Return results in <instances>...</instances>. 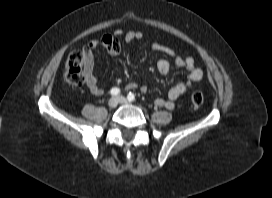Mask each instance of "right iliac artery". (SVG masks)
Returning a JSON list of instances; mask_svg holds the SVG:
<instances>
[{
	"mask_svg": "<svg viewBox=\"0 0 272 198\" xmlns=\"http://www.w3.org/2000/svg\"><path fill=\"white\" fill-rule=\"evenodd\" d=\"M110 92L112 95L116 96V95L120 94V89L112 88Z\"/></svg>",
	"mask_w": 272,
	"mask_h": 198,
	"instance_id": "right-iliac-artery-1",
	"label": "right iliac artery"
}]
</instances>
